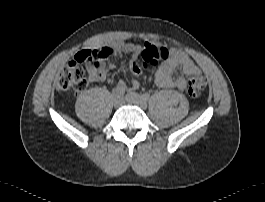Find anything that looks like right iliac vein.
I'll return each instance as SVG.
<instances>
[{
  "mask_svg": "<svg viewBox=\"0 0 265 202\" xmlns=\"http://www.w3.org/2000/svg\"><path fill=\"white\" fill-rule=\"evenodd\" d=\"M123 97L122 96H117V97H115L114 98V106H116V107H119V106H121L122 105V103H123Z\"/></svg>",
  "mask_w": 265,
  "mask_h": 202,
  "instance_id": "1",
  "label": "right iliac vein"
}]
</instances>
